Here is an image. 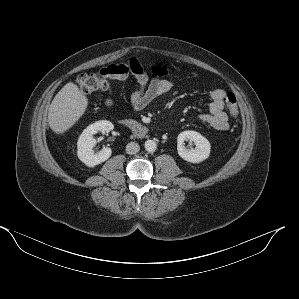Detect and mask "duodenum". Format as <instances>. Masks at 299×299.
<instances>
[{
	"mask_svg": "<svg viewBox=\"0 0 299 299\" xmlns=\"http://www.w3.org/2000/svg\"><path fill=\"white\" fill-rule=\"evenodd\" d=\"M120 123L127 127L134 135L138 137H146L149 134V130L143 124L138 123L134 120L123 119Z\"/></svg>",
	"mask_w": 299,
	"mask_h": 299,
	"instance_id": "410a0bca",
	"label": "duodenum"
}]
</instances>
